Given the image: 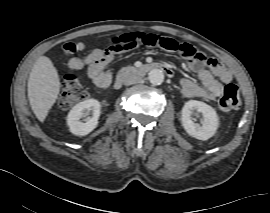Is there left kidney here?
<instances>
[{
    "instance_id": "left-kidney-1",
    "label": "left kidney",
    "mask_w": 270,
    "mask_h": 213,
    "mask_svg": "<svg viewBox=\"0 0 270 213\" xmlns=\"http://www.w3.org/2000/svg\"><path fill=\"white\" fill-rule=\"evenodd\" d=\"M195 111L203 116L202 126L193 121L192 115ZM181 123L190 136L205 141L215 134L218 128V116L215 109L208 104L189 100L182 108Z\"/></svg>"
}]
</instances>
